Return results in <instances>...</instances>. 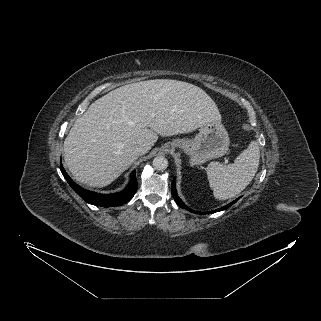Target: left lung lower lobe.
I'll list each match as a JSON object with an SVG mask.
<instances>
[{"instance_id":"1","label":"left lung lower lobe","mask_w":321,"mask_h":321,"mask_svg":"<svg viewBox=\"0 0 321 321\" xmlns=\"http://www.w3.org/2000/svg\"><path fill=\"white\" fill-rule=\"evenodd\" d=\"M171 193H172V196L174 197L176 203L181 207V208H184L190 212H193V213H197V214H209V213H214V212H218V211H222V210H225L227 208H229L231 205H233L238 199L234 200L233 202L217 209V210H214V211H210V212H197V211H194V210H191L188 206H186L183 201L178 197L177 195V191H176V186H175V179H173L172 181V185H171Z\"/></svg>"}]
</instances>
